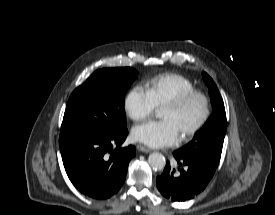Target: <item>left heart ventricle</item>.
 <instances>
[{
    "label": "left heart ventricle",
    "instance_id": "left-heart-ventricle-1",
    "mask_svg": "<svg viewBox=\"0 0 275 215\" xmlns=\"http://www.w3.org/2000/svg\"><path fill=\"white\" fill-rule=\"evenodd\" d=\"M203 112V101L201 98L196 97L181 109L163 107L160 116L164 120L172 121L182 136L200 120Z\"/></svg>",
    "mask_w": 275,
    "mask_h": 215
}]
</instances>
